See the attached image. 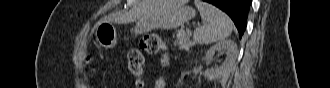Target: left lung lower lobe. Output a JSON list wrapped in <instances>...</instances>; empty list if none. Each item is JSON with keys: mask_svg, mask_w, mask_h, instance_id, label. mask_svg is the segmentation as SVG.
Masks as SVG:
<instances>
[{"mask_svg": "<svg viewBox=\"0 0 330 88\" xmlns=\"http://www.w3.org/2000/svg\"><path fill=\"white\" fill-rule=\"evenodd\" d=\"M211 3L222 11L226 12L233 20L235 26L238 29L240 38L242 37L246 25L247 16L251 0H204Z\"/></svg>", "mask_w": 330, "mask_h": 88, "instance_id": "0a47b994", "label": "left lung lower lobe"}]
</instances>
